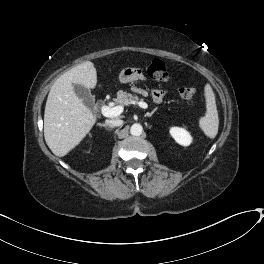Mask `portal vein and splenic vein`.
Listing matches in <instances>:
<instances>
[{
	"mask_svg": "<svg viewBox=\"0 0 264 264\" xmlns=\"http://www.w3.org/2000/svg\"><path fill=\"white\" fill-rule=\"evenodd\" d=\"M131 104H137L139 107L146 109L148 107L147 103L143 101H132ZM124 110L122 105L115 107H109L107 105L102 106L101 112L105 117H116L120 115Z\"/></svg>",
	"mask_w": 264,
	"mask_h": 264,
	"instance_id": "obj_1",
	"label": "portal vein and splenic vein"
}]
</instances>
